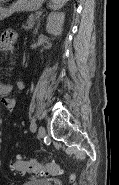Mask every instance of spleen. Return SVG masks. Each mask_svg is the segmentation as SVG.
<instances>
[{"mask_svg":"<svg viewBox=\"0 0 119 185\" xmlns=\"http://www.w3.org/2000/svg\"><path fill=\"white\" fill-rule=\"evenodd\" d=\"M68 0H51V8L58 10L65 5Z\"/></svg>","mask_w":119,"mask_h":185,"instance_id":"spleen-1","label":"spleen"}]
</instances>
